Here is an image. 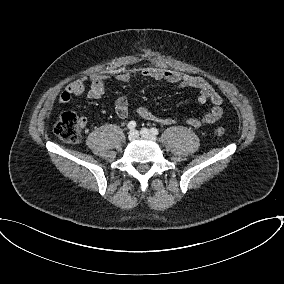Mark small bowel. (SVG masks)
I'll return each instance as SVG.
<instances>
[{
	"mask_svg": "<svg viewBox=\"0 0 284 284\" xmlns=\"http://www.w3.org/2000/svg\"><path fill=\"white\" fill-rule=\"evenodd\" d=\"M141 74L150 79L162 80L180 88H192L198 90L197 101L204 105L209 103L210 110L202 117H191L188 124L194 128H199L203 124H212L218 121L223 115L222 96L202 77L180 73L174 70H166L154 67H145ZM113 77L117 80L128 83L131 81V74L126 69L117 70ZM110 76L102 73H93L88 76L76 79L69 83L59 95L58 101L62 105L70 102L73 96L85 94L87 98L97 100L104 96L106 81ZM115 111L119 118L125 119L128 116V100L125 96H120L115 102ZM138 115L148 121L158 122L163 125H173L175 120L167 117H159L147 107H140ZM86 118H80V125L84 127Z\"/></svg>",
	"mask_w": 284,
	"mask_h": 284,
	"instance_id": "small-bowel-1",
	"label": "small bowel"
}]
</instances>
